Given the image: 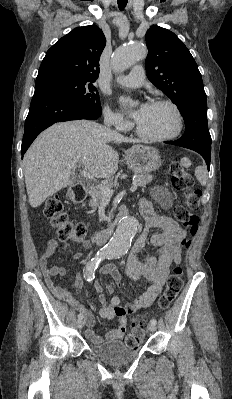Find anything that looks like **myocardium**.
I'll return each instance as SVG.
<instances>
[{
    "instance_id": "1",
    "label": "myocardium",
    "mask_w": 232,
    "mask_h": 399,
    "mask_svg": "<svg viewBox=\"0 0 232 399\" xmlns=\"http://www.w3.org/2000/svg\"><path fill=\"white\" fill-rule=\"evenodd\" d=\"M148 105H168V106H170L174 110L175 115H176V128L171 134L161 136V137H152V136H148V135L144 134L135 122V123H133V128H134V132L138 138H140L143 141L149 142V143H161V142H167V141L173 140L181 134V132L183 130V126H184V121H183L182 112H181L180 108L178 107V105H176L172 101L164 100V99H152L149 101Z\"/></svg>"
}]
</instances>
